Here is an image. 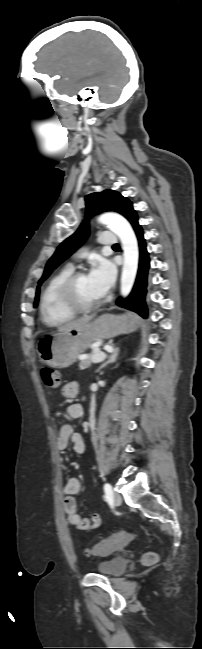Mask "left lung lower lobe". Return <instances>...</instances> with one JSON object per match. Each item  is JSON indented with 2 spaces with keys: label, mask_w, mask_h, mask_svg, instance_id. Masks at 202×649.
Masks as SVG:
<instances>
[{
  "label": "left lung lower lobe",
  "mask_w": 202,
  "mask_h": 649,
  "mask_svg": "<svg viewBox=\"0 0 202 649\" xmlns=\"http://www.w3.org/2000/svg\"><path fill=\"white\" fill-rule=\"evenodd\" d=\"M132 228L138 239L139 244V268L135 285L132 292L126 299L118 298L117 305L138 313L143 318H147L148 310L145 302L147 293V274L150 267L149 254L146 249V243L143 236L142 227L138 223V216H133L130 221Z\"/></svg>",
  "instance_id": "obj_1"
}]
</instances>
